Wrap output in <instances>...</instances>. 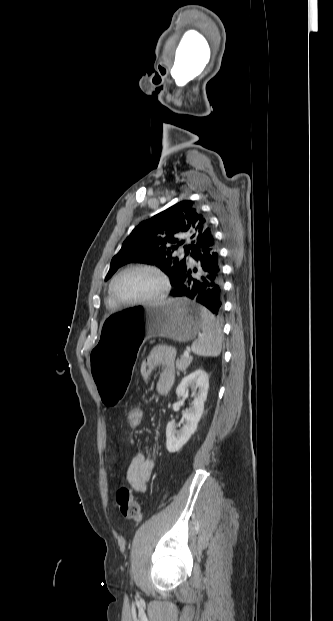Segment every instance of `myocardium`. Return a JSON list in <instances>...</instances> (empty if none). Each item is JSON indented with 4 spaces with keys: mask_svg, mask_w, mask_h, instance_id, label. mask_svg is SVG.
I'll return each instance as SVG.
<instances>
[{
    "mask_svg": "<svg viewBox=\"0 0 333 621\" xmlns=\"http://www.w3.org/2000/svg\"><path fill=\"white\" fill-rule=\"evenodd\" d=\"M137 270L149 271V272L156 274L162 282L163 287H162L161 292L157 296L147 298V299L132 300V301L121 300L114 291V286H115L116 281L124 274L131 272V271H137ZM170 288H171V285H170L169 278L162 269H160L159 267L155 265H151V264H135V265L128 266L122 269L119 273H117L114 276V278L111 280L108 291H109V295L111 299L116 304V306L128 307V306H137V305H150V304H156V303L162 302L163 300L167 298L170 292Z\"/></svg>",
    "mask_w": 333,
    "mask_h": 621,
    "instance_id": "myocardium-1",
    "label": "myocardium"
}]
</instances>
